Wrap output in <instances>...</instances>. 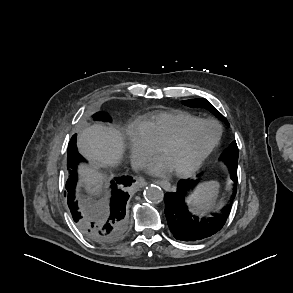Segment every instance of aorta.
I'll list each match as a JSON object with an SVG mask.
<instances>
[{
	"instance_id": "1",
	"label": "aorta",
	"mask_w": 293,
	"mask_h": 293,
	"mask_svg": "<svg viewBox=\"0 0 293 293\" xmlns=\"http://www.w3.org/2000/svg\"><path fill=\"white\" fill-rule=\"evenodd\" d=\"M144 197L148 202L157 204L163 200L164 192L159 186L150 185L145 188Z\"/></svg>"
}]
</instances>
